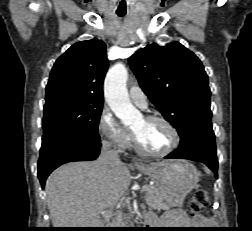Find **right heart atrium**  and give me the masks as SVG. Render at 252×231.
Listing matches in <instances>:
<instances>
[{
	"mask_svg": "<svg viewBox=\"0 0 252 231\" xmlns=\"http://www.w3.org/2000/svg\"><path fill=\"white\" fill-rule=\"evenodd\" d=\"M98 132L101 139L118 150H123L130 143V133L124 129L108 109H103L98 119Z\"/></svg>",
	"mask_w": 252,
	"mask_h": 231,
	"instance_id": "d8ad5b80",
	"label": "right heart atrium"
}]
</instances>
